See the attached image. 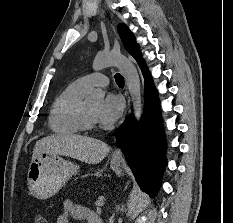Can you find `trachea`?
I'll list each match as a JSON object with an SVG mask.
<instances>
[{
	"label": "trachea",
	"instance_id": "obj_1",
	"mask_svg": "<svg viewBox=\"0 0 233 223\" xmlns=\"http://www.w3.org/2000/svg\"><path fill=\"white\" fill-rule=\"evenodd\" d=\"M115 82L117 84H124V78L122 75H120V73H116L115 75Z\"/></svg>",
	"mask_w": 233,
	"mask_h": 223
}]
</instances>
